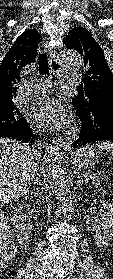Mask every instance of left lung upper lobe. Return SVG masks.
Returning <instances> with one entry per match:
<instances>
[{"instance_id":"left-lung-upper-lobe-1","label":"left lung upper lobe","mask_w":113,"mask_h":279,"mask_svg":"<svg viewBox=\"0 0 113 279\" xmlns=\"http://www.w3.org/2000/svg\"><path fill=\"white\" fill-rule=\"evenodd\" d=\"M66 47L78 51L86 68L82 78L84 87H78L79 94L73 98L88 107L102 101H113V74L106 62L104 53L90 32L83 27L73 28L65 39Z\"/></svg>"}]
</instances>
